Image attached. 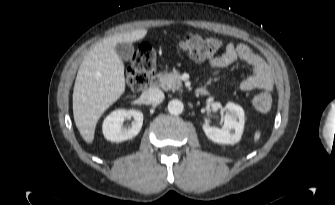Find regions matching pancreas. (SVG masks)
I'll use <instances>...</instances> for the list:
<instances>
[{"label": "pancreas", "mask_w": 335, "mask_h": 205, "mask_svg": "<svg viewBox=\"0 0 335 205\" xmlns=\"http://www.w3.org/2000/svg\"><path fill=\"white\" fill-rule=\"evenodd\" d=\"M161 86L164 90H180L182 87L181 76L178 71L174 70L169 73H161L159 74Z\"/></svg>", "instance_id": "obj_1"}]
</instances>
